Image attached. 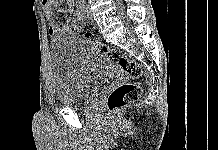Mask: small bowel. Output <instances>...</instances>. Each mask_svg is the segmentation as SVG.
<instances>
[{
  "label": "small bowel",
  "instance_id": "small-bowel-1",
  "mask_svg": "<svg viewBox=\"0 0 218 150\" xmlns=\"http://www.w3.org/2000/svg\"><path fill=\"white\" fill-rule=\"evenodd\" d=\"M60 0H43L42 9L46 17L49 19V34L56 36L68 32L66 24H59L54 21V7L58 6ZM69 5V12H72L75 7V0H67Z\"/></svg>",
  "mask_w": 218,
  "mask_h": 150
}]
</instances>
